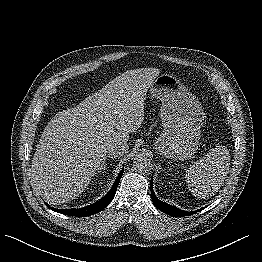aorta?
I'll return each instance as SVG.
<instances>
[{"instance_id":"1","label":"aorta","mask_w":262,"mask_h":262,"mask_svg":"<svg viewBox=\"0 0 262 262\" xmlns=\"http://www.w3.org/2000/svg\"><path fill=\"white\" fill-rule=\"evenodd\" d=\"M133 167L138 172H148L152 168V163L146 155L139 154L134 158Z\"/></svg>"}]
</instances>
